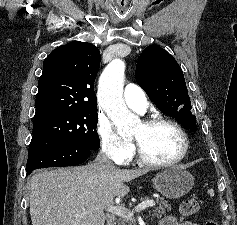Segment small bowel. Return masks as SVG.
Instances as JSON below:
<instances>
[{"instance_id": "small-bowel-1", "label": "small bowel", "mask_w": 237, "mask_h": 225, "mask_svg": "<svg viewBox=\"0 0 237 225\" xmlns=\"http://www.w3.org/2000/svg\"><path fill=\"white\" fill-rule=\"evenodd\" d=\"M159 225H198L192 221H180L172 216L163 218Z\"/></svg>"}]
</instances>
